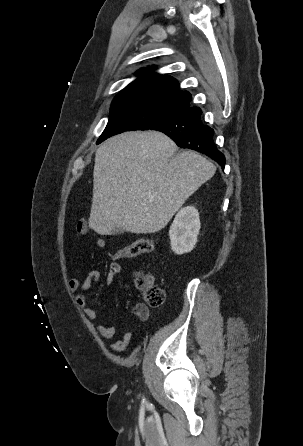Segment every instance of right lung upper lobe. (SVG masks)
Returning a JSON list of instances; mask_svg holds the SVG:
<instances>
[{"label":"right lung upper lobe","instance_id":"right-lung-upper-lobe-1","mask_svg":"<svg viewBox=\"0 0 303 446\" xmlns=\"http://www.w3.org/2000/svg\"><path fill=\"white\" fill-rule=\"evenodd\" d=\"M147 71L144 68L139 72ZM179 98L187 99L189 105L191 95L187 91H180L174 78L151 73L130 83L114 98L112 105L163 110L172 100Z\"/></svg>","mask_w":303,"mask_h":446}]
</instances>
